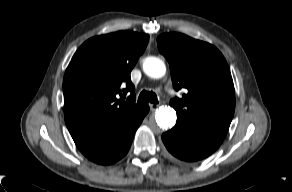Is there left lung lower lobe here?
Returning a JSON list of instances; mask_svg holds the SVG:
<instances>
[{"instance_id":"obj_1","label":"left lung lower lobe","mask_w":292,"mask_h":192,"mask_svg":"<svg viewBox=\"0 0 292 192\" xmlns=\"http://www.w3.org/2000/svg\"><path fill=\"white\" fill-rule=\"evenodd\" d=\"M226 135L176 124L162 135L167 150L176 158L193 162L211 155Z\"/></svg>"}]
</instances>
